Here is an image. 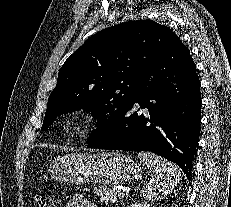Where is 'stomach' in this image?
Masks as SVG:
<instances>
[{
  "instance_id": "1",
  "label": "stomach",
  "mask_w": 231,
  "mask_h": 207,
  "mask_svg": "<svg viewBox=\"0 0 231 207\" xmlns=\"http://www.w3.org/2000/svg\"><path fill=\"white\" fill-rule=\"evenodd\" d=\"M141 163L121 153H70L52 161L51 177L60 182L120 184L141 177Z\"/></svg>"
}]
</instances>
